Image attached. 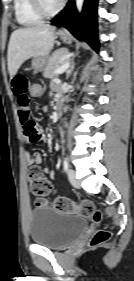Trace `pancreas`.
<instances>
[{"label": "pancreas", "instance_id": "cf45deb5", "mask_svg": "<svg viewBox=\"0 0 134 281\" xmlns=\"http://www.w3.org/2000/svg\"><path fill=\"white\" fill-rule=\"evenodd\" d=\"M68 55L69 51L66 48H61L54 51L48 58L47 65L43 70V76L49 79L54 78L56 76V74L54 73L55 70L67 62Z\"/></svg>", "mask_w": 134, "mask_h": 281}]
</instances>
